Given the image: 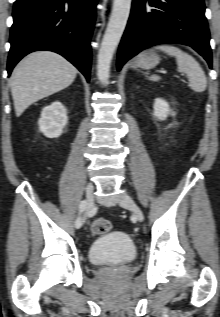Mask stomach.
I'll use <instances>...</instances> for the list:
<instances>
[{
  "instance_id": "0dacf381",
  "label": "stomach",
  "mask_w": 220,
  "mask_h": 317,
  "mask_svg": "<svg viewBox=\"0 0 220 317\" xmlns=\"http://www.w3.org/2000/svg\"><path fill=\"white\" fill-rule=\"evenodd\" d=\"M160 61V57L154 51L140 53L132 63V68L151 69Z\"/></svg>"
}]
</instances>
